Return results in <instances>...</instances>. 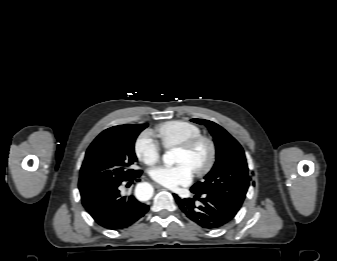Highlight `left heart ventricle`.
Listing matches in <instances>:
<instances>
[{
	"label": "left heart ventricle",
	"mask_w": 337,
	"mask_h": 261,
	"mask_svg": "<svg viewBox=\"0 0 337 261\" xmlns=\"http://www.w3.org/2000/svg\"><path fill=\"white\" fill-rule=\"evenodd\" d=\"M209 157V149L206 144L199 145L195 150L186 152L182 149H178L176 163L186 164L192 170L200 168L207 162Z\"/></svg>",
	"instance_id": "left-heart-ventricle-1"
}]
</instances>
